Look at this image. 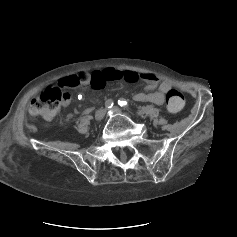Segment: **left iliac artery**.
Here are the masks:
<instances>
[{"mask_svg":"<svg viewBox=\"0 0 237 237\" xmlns=\"http://www.w3.org/2000/svg\"><path fill=\"white\" fill-rule=\"evenodd\" d=\"M118 104L122 107L127 105V102L124 99H119ZM153 109V106H146L141 108L140 110L137 111L138 115H143L145 113H149Z\"/></svg>","mask_w":237,"mask_h":237,"instance_id":"obj_1","label":"left iliac artery"}]
</instances>
